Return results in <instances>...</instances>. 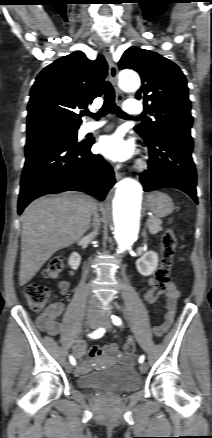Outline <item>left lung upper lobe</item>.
I'll return each instance as SVG.
<instances>
[{
    "label": "left lung upper lobe",
    "mask_w": 212,
    "mask_h": 438,
    "mask_svg": "<svg viewBox=\"0 0 212 438\" xmlns=\"http://www.w3.org/2000/svg\"><path fill=\"white\" fill-rule=\"evenodd\" d=\"M118 65L140 74L143 85L136 98L143 97L147 111L155 117V121L147 119L136 126L138 134L150 139L162 131H190L193 119L187 81L176 64L158 53L132 46Z\"/></svg>",
    "instance_id": "obj_1"
}]
</instances>
